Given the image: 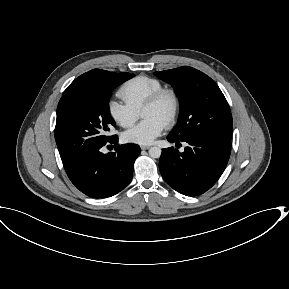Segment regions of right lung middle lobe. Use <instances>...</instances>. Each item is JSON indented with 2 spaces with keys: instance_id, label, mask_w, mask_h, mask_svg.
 <instances>
[{
  "instance_id": "1",
  "label": "right lung middle lobe",
  "mask_w": 289,
  "mask_h": 289,
  "mask_svg": "<svg viewBox=\"0 0 289 289\" xmlns=\"http://www.w3.org/2000/svg\"><path fill=\"white\" fill-rule=\"evenodd\" d=\"M133 77L131 73L112 75L93 87L65 90L57 107L55 140L62 162L104 144L115 122L109 113L111 91Z\"/></svg>"
}]
</instances>
